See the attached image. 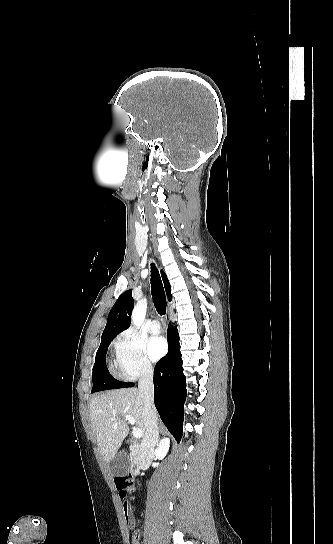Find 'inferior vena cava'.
I'll list each match as a JSON object with an SVG mask.
<instances>
[{"instance_id": "1", "label": "inferior vena cava", "mask_w": 333, "mask_h": 544, "mask_svg": "<svg viewBox=\"0 0 333 544\" xmlns=\"http://www.w3.org/2000/svg\"><path fill=\"white\" fill-rule=\"evenodd\" d=\"M143 399L145 432L141 442L140 467L148 469L157 439V411L154 405V386L152 368H144L138 382Z\"/></svg>"}]
</instances>
